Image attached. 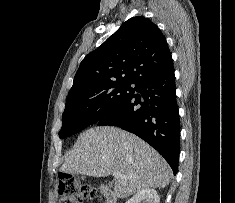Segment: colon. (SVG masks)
<instances>
[{
  "label": "colon",
  "mask_w": 235,
  "mask_h": 203,
  "mask_svg": "<svg viewBox=\"0 0 235 203\" xmlns=\"http://www.w3.org/2000/svg\"><path fill=\"white\" fill-rule=\"evenodd\" d=\"M58 203H82L83 199L96 197L95 189L87 183H80L70 174H61L58 179Z\"/></svg>",
  "instance_id": "colon-1"
}]
</instances>
